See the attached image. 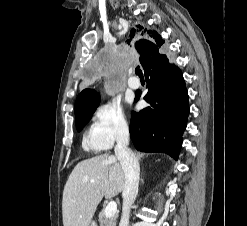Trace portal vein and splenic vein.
I'll list each match as a JSON object with an SVG mask.
<instances>
[{
  "label": "portal vein and splenic vein",
  "instance_id": "obj_1",
  "mask_svg": "<svg viewBox=\"0 0 247 226\" xmlns=\"http://www.w3.org/2000/svg\"><path fill=\"white\" fill-rule=\"evenodd\" d=\"M94 182V181H92ZM117 212V204L114 201H111L108 203V205L105 208V216L106 217H112L116 214Z\"/></svg>",
  "mask_w": 247,
  "mask_h": 226
}]
</instances>
